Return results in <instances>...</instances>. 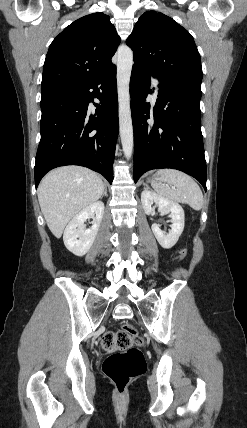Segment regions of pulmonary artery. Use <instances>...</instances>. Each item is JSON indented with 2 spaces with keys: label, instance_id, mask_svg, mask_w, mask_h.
Here are the masks:
<instances>
[{
  "label": "pulmonary artery",
  "instance_id": "pulmonary-artery-1",
  "mask_svg": "<svg viewBox=\"0 0 247 428\" xmlns=\"http://www.w3.org/2000/svg\"><path fill=\"white\" fill-rule=\"evenodd\" d=\"M154 85L156 86V89L158 90V81L154 80Z\"/></svg>",
  "mask_w": 247,
  "mask_h": 428
}]
</instances>
